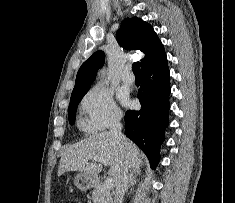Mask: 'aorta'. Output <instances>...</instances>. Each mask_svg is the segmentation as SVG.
I'll return each instance as SVG.
<instances>
[{
  "label": "aorta",
  "instance_id": "aorta-1",
  "mask_svg": "<svg viewBox=\"0 0 235 203\" xmlns=\"http://www.w3.org/2000/svg\"><path fill=\"white\" fill-rule=\"evenodd\" d=\"M101 75H102V77H104V75H105V72H102V74H101Z\"/></svg>",
  "mask_w": 235,
  "mask_h": 203
}]
</instances>
